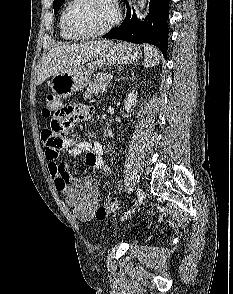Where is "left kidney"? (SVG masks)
I'll return each mask as SVG.
<instances>
[{
  "label": "left kidney",
  "instance_id": "1",
  "mask_svg": "<svg viewBox=\"0 0 233 294\" xmlns=\"http://www.w3.org/2000/svg\"><path fill=\"white\" fill-rule=\"evenodd\" d=\"M137 102V92L134 93L132 91L131 93L128 94V97L125 99L124 103V109L127 112V114H131L133 111V108L136 106Z\"/></svg>",
  "mask_w": 233,
  "mask_h": 294
}]
</instances>
